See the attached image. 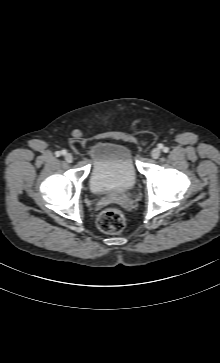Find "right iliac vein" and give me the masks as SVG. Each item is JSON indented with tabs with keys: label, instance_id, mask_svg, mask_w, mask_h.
<instances>
[{
	"label": "right iliac vein",
	"instance_id": "63e3f726",
	"mask_svg": "<svg viewBox=\"0 0 220 363\" xmlns=\"http://www.w3.org/2000/svg\"><path fill=\"white\" fill-rule=\"evenodd\" d=\"M65 161L71 163L73 161V155L71 153H66L64 155Z\"/></svg>",
	"mask_w": 220,
	"mask_h": 363
}]
</instances>
